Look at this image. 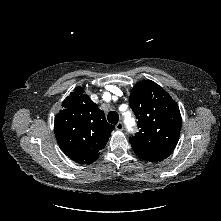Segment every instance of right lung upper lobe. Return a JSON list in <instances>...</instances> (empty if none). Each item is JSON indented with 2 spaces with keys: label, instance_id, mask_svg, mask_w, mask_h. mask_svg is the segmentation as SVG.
<instances>
[{
  "label": "right lung upper lobe",
  "instance_id": "right-lung-upper-lobe-1",
  "mask_svg": "<svg viewBox=\"0 0 221 221\" xmlns=\"http://www.w3.org/2000/svg\"><path fill=\"white\" fill-rule=\"evenodd\" d=\"M113 130L114 126L107 123L104 112L84 94L83 87H76L67 96L54 121L60 148L79 164L93 163Z\"/></svg>",
  "mask_w": 221,
  "mask_h": 221
}]
</instances>
